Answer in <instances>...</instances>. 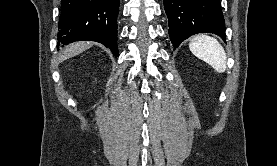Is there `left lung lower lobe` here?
Here are the masks:
<instances>
[{"instance_id":"left-lung-lower-lobe-1","label":"left lung lower lobe","mask_w":277,"mask_h":166,"mask_svg":"<svg viewBox=\"0 0 277 166\" xmlns=\"http://www.w3.org/2000/svg\"><path fill=\"white\" fill-rule=\"evenodd\" d=\"M174 48L197 33H214L225 41V27L219 0H163Z\"/></svg>"}]
</instances>
